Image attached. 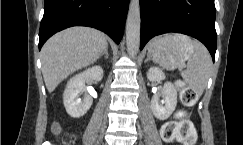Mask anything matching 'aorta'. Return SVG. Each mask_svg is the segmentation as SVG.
I'll return each instance as SVG.
<instances>
[{
	"mask_svg": "<svg viewBox=\"0 0 243 145\" xmlns=\"http://www.w3.org/2000/svg\"><path fill=\"white\" fill-rule=\"evenodd\" d=\"M140 4L139 0H131L126 22V44L131 56H135L140 46Z\"/></svg>",
	"mask_w": 243,
	"mask_h": 145,
	"instance_id": "aorta-1",
	"label": "aorta"
}]
</instances>
